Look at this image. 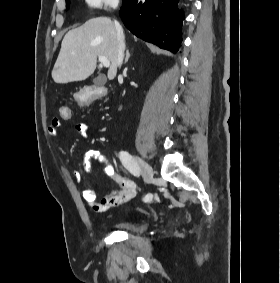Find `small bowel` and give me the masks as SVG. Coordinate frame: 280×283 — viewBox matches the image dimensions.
<instances>
[{"mask_svg":"<svg viewBox=\"0 0 280 283\" xmlns=\"http://www.w3.org/2000/svg\"><path fill=\"white\" fill-rule=\"evenodd\" d=\"M60 126V120L54 119L48 127L49 136H58ZM75 129L77 134L81 137L87 136L88 125L86 123H77ZM85 159L86 162L84 164V170L86 172H92V167L89 160L96 159L104 164L103 171L105 175L112 179L116 185V189L103 197L100 201L97 200L96 192L92 187H87L83 190L82 197L84 201L89 204L93 211L100 213L107 212L110 209L118 207L135 197L137 193L136 184L131 179L120 175L115 168L109 164L105 154L98 150H91L86 153ZM72 175L76 181H80L82 179V172L80 170H74Z\"/></svg>","mask_w":280,"mask_h":283,"instance_id":"small-bowel-1","label":"small bowel"}]
</instances>
